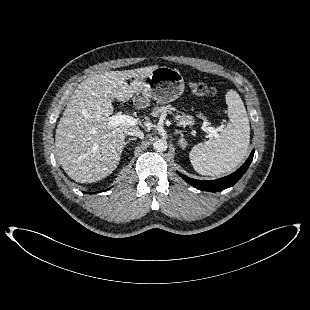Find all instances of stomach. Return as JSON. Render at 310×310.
<instances>
[{
    "mask_svg": "<svg viewBox=\"0 0 310 310\" xmlns=\"http://www.w3.org/2000/svg\"><path fill=\"white\" fill-rule=\"evenodd\" d=\"M149 83L143 86L134 95L135 104L146 107L150 99L162 103L176 100L184 91V79L177 69L166 66L154 68L149 74Z\"/></svg>",
    "mask_w": 310,
    "mask_h": 310,
    "instance_id": "0dacf381",
    "label": "stomach"
}]
</instances>
